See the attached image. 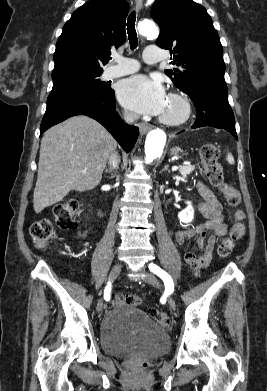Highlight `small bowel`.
Instances as JSON below:
<instances>
[{
	"label": "small bowel",
	"instance_id": "c3829d8e",
	"mask_svg": "<svg viewBox=\"0 0 267 391\" xmlns=\"http://www.w3.org/2000/svg\"><path fill=\"white\" fill-rule=\"evenodd\" d=\"M197 189L202 197L199 204V212L205 218V222L191 228L181 229L175 233V240L178 245L195 239L199 252H187L184 256L187 264L193 269L195 274L207 267L210 263L215 244L218 237L227 233V225L224 222L222 205L217 199L214 192L202 183L197 184ZM76 238L80 241L86 238L85 231H79Z\"/></svg>",
	"mask_w": 267,
	"mask_h": 391
}]
</instances>
